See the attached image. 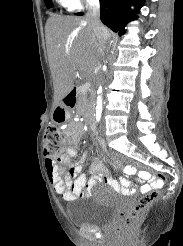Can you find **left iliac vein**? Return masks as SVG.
Segmentation results:
<instances>
[{"instance_id":"4c4485c4","label":"left iliac vein","mask_w":183,"mask_h":246,"mask_svg":"<svg viewBox=\"0 0 183 246\" xmlns=\"http://www.w3.org/2000/svg\"><path fill=\"white\" fill-rule=\"evenodd\" d=\"M105 129H106V127H105V121L102 120L101 127H100V132L103 134L105 132Z\"/></svg>"}]
</instances>
